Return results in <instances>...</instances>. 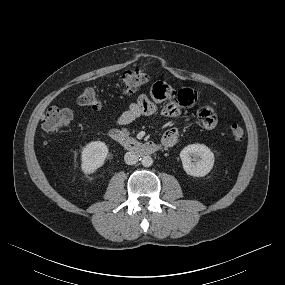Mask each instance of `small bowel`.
<instances>
[{"label": "small bowel", "mask_w": 285, "mask_h": 285, "mask_svg": "<svg viewBox=\"0 0 285 285\" xmlns=\"http://www.w3.org/2000/svg\"><path fill=\"white\" fill-rule=\"evenodd\" d=\"M150 95L140 94L116 119L115 124L117 126H125L141 116L153 114L157 108L156 103L164 108L163 112L165 115L179 117L181 115L180 105L190 107L195 105L197 100V93L194 89L182 88L177 91L163 82L155 84L151 89ZM198 119L206 129H213L218 123L217 116L210 106L199 107ZM179 135L180 131L177 128L167 130L162 136V144L166 147L175 145Z\"/></svg>", "instance_id": "c3829d8e"}]
</instances>
